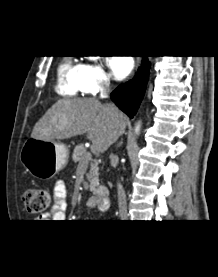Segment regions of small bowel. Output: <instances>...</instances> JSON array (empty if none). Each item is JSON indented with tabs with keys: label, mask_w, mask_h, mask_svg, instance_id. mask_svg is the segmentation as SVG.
Returning a JSON list of instances; mask_svg holds the SVG:
<instances>
[{
	"label": "small bowel",
	"mask_w": 218,
	"mask_h": 277,
	"mask_svg": "<svg viewBox=\"0 0 218 277\" xmlns=\"http://www.w3.org/2000/svg\"><path fill=\"white\" fill-rule=\"evenodd\" d=\"M88 207L93 209L95 204L92 199L87 203ZM68 207L67 201V190L63 181L59 180L56 182L53 191V205L51 211L42 215V220H55V222H62L61 220H65L66 218V209Z\"/></svg>",
	"instance_id": "obj_1"
}]
</instances>
